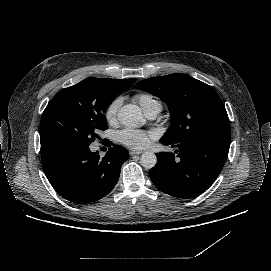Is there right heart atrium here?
<instances>
[{"instance_id": "1", "label": "right heart atrium", "mask_w": 271, "mask_h": 271, "mask_svg": "<svg viewBox=\"0 0 271 271\" xmlns=\"http://www.w3.org/2000/svg\"><path fill=\"white\" fill-rule=\"evenodd\" d=\"M123 103V97L121 95L116 96L105 108L104 117L108 123L115 120L117 112Z\"/></svg>"}]
</instances>
